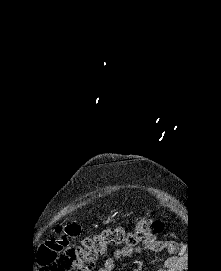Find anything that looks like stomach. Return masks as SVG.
<instances>
[{
  "label": "stomach",
  "instance_id": "obj_1",
  "mask_svg": "<svg viewBox=\"0 0 221 271\" xmlns=\"http://www.w3.org/2000/svg\"><path fill=\"white\" fill-rule=\"evenodd\" d=\"M102 221L103 223H109V221H112L111 215H102Z\"/></svg>",
  "mask_w": 221,
  "mask_h": 271
}]
</instances>
